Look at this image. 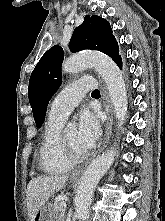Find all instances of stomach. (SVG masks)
<instances>
[{
	"label": "stomach",
	"mask_w": 165,
	"mask_h": 221,
	"mask_svg": "<svg viewBox=\"0 0 165 221\" xmlns=\"http://www.w3.org/2000/svg\"><path fill=\"white\" fill-rule=\"evenodd\" d=\"M34 221H57V216L53 211V206L44 204L36 213Z\"/></svg>",
	"instance_id": "obj_1"
}]
</instances>
